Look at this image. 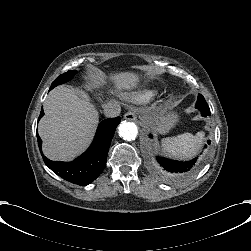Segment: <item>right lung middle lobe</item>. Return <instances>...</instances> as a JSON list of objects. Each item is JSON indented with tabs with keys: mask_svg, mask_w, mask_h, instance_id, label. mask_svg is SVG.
<instances>
[{
	"mask_svg": "<svg viewBox=\"0 0 251 251\" xmlns=\"http://www.w3.org/2000/svg\"><path fill=\"white\" fill-rule=\"evenodd\" d=\"M76 74V70H70L62 75H60L59 77H57V79L52 83L50 90L53 89L54 87L63 84L67 81H69L70 79H72V77Z\"/></svg>",
	"mask_w": 251,
	"mask_h": 251,
	"instance_id": "1",
	"label": "right lung middle lobe"
}]
</instances>
